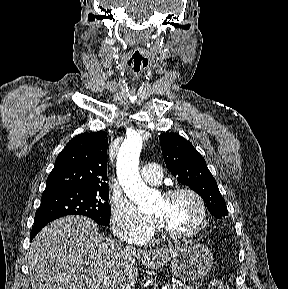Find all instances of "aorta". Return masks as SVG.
Segmentation results:
<instances>
[{"label": "aorta", "mask_w": 288, "mask_h": 289, "mask_svg": "<svg viewBox=\"0 0 288 289\" xmlns=\"http://www.w3.org/2000/svg\"><path fill=\"white\" fill-rule=\"evenodd\" d=\"M142 137L134 133L128 136L118 153L117 176L126 195L142 212L154 208L156 195L146 186L139 174V156L142 149Z\"/></svg>", "instance_id": "obj_1"}]
</instances>
